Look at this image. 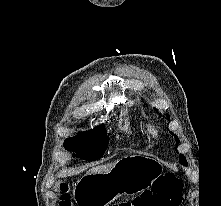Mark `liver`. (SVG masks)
<instances>
[{"mask_svg":"<svg viewBox=\"0 0 221 206\" xmlns=\"http://www.w3.org/2000/svg\"><path fill=\"white\" fill-rule=\"evenodd\" d=\"M115 163H110V164H105V165H98L96 167H92L87 172V174H105V173H108L114 167Z\"/></svg>","mask_w":221,"mask_h":206,"instance_id":"6515ba94","label":"liver"}]
</instances>
